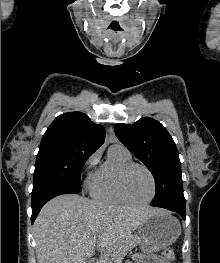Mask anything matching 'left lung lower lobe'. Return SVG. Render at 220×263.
Returning a JSON list of instances; mask_svg holds the SVG:
<instances>
[{"instance_id":"1","label":"left lung lower lobe","mask_w":220,"mask_h":263,"mask_svg":"<svg viewBox=\"0 0 220 263\" xmlns=\"http://www.w3.org/2000/svg\"><path fill=\"white\" fill-rule=\"evenodd\" d=\"M166 209L178 213L183 218V220H185L186 218L185 209H173V208H166Z\"/></svg>"}]
</instances>
